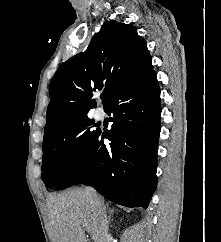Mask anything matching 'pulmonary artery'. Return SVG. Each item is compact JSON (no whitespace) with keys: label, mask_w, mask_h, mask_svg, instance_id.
I'll return each instance as SVG.
<instances>
[{"label":"pulmonary artery","mask_w":221,"mask_h":242,"mask_svg":"<svg viewBox=\"0 0 221 242\" xmlns=\"http://www.w3.org/2000/svg\"><path fill=\"white\" fill-rule=\"evenodd\" d=\"M95 117L97 120H101L104 117V112L102 109H97L95 112Z\"/></svg>","instance_id":"obj_1"}]
</instances>
